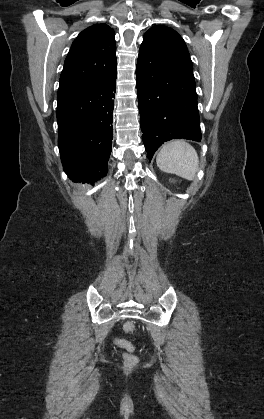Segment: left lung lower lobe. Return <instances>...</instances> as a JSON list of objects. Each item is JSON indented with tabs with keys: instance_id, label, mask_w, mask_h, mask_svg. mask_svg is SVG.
I'll list each match as a JSON object with an SVG mask.
<instances>
[{
	"instance_id": "left-lung-lower-lobe-1",
	"label": "left lung lower lobe",
	"mask_w": 264,
	"mask_h": 419,
	"mask_svg": "<svg viewBox=\"0 0 264 419\" xmlns=\"http://www.w3.org/2000/svg\"><path fill=\"white\" fill-rule=\"evenodd\" d=\"M143 142L149 161L166 141H201L193 74L166 38L144 39L136 67Z\"/></svg>"
}]
</instances>
